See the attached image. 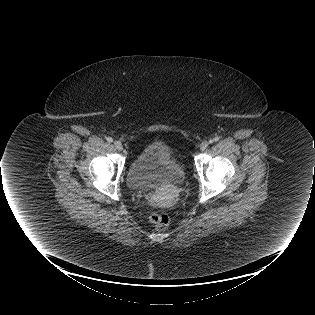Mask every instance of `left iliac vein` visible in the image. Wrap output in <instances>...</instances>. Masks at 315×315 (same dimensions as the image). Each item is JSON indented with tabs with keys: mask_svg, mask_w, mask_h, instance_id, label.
<instances>
[{
	"mask_svg": "<svg viewBox=\"0 0 315 315\" xmlns=\"http://www.w3.org/2000/svg\"><path fill=\"white\" fill-rule=\"evenodd\" d=\"M209 146V142L208 141H203L200 145V150L204 151L205 149H207V147Z\"/></svg>",
	"mask_w": 315,
	"mask_h": 315,
	"instance_id": "obj_1",
	"label": "left iliac vein"
}]
</instances>
